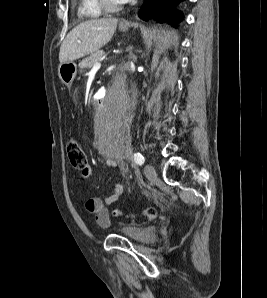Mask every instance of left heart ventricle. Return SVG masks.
<instances>
[{"label":"left heart ventricle","mask_w":267,"mask_h":298,"mask_svg":"<svg viewBox=\"0 0 267 298\" xmlns=\"http://www.w3.org/2000/svg\"><path fill=\"white\" fill-rule=\"evenodd\" d=\"M111 1H113L114 3H119L118 0H111Z\"/></svg>","instance_id":"left-heart-ventricle-1"}]
</instances>
